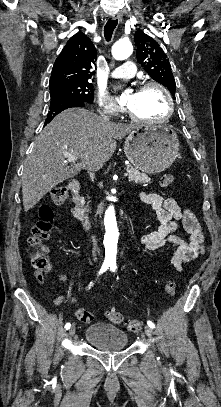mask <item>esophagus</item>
Here are the masks:
<instances>
[{
    "label": "esophagus",
    "mask_w": 221,
    "mask_h": 407,
    "mask_svg": "<svg viewBox=\"0 0 221 407\" xmlns=\"http://www.w3.org/2000/svg\"><path fill=\"white\" fill-rule=\"evenodd\" d=\"M112 19L113 20H118L119 22H121L122 21V15L121 14H114L113 16H112Z\"/></svg>",
    "instance_id": "obj_1"
}]
</instances>
